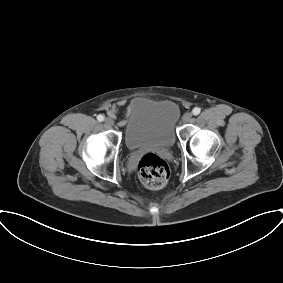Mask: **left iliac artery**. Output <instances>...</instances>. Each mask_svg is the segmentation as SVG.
<instances>
[{"instance_id":"1","label":"left iliac artery","mask_w":283,"mask_h":283,"mask_svg":"<svg viewBox=\"0 0 283 283\" xmlns=\"http://www.w3.org/2000/svg\"><path fill=\"white\" fill-rule=\"evenodd\" d=\"M201 109L198 108V107H195L193 110H192V113L193 115H198L200 113Z\"/></svg>"}]
</instances>
